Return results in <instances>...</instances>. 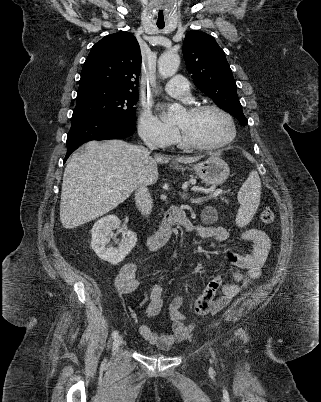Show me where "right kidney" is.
I'll list each match as a JSON object with an SVG mask.
<instances>
[{"mask_svg":"<svg viewBox=\"0 0 321 402\" xmlns=\"http://www.w3.org/2000/svg\"><path fill=\"white\" fill-rule=\"evenodd\" d=\"M120 220L115 215H108L95 222L91 230V247L97 256L103 260L116 265L121 262L134 248L137 236L132 231L123 232V240L118 248L108 247L112 230L119 229Z\"/></svg>","mask_w":321,"mask_h":402,"instance_id":"ca27d5eb","label":"right kidney"}]
</instances>
